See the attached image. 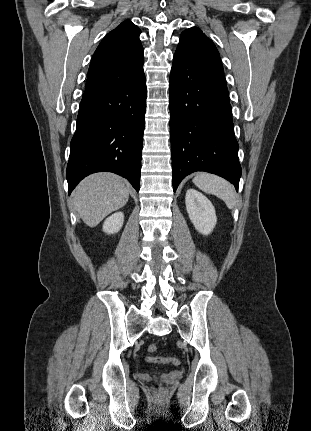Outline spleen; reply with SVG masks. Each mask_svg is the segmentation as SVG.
Listing matches in <instances>:
<instances>
[{"mask_svg":"<svg viewBox=\"0 0 311 431\" xmlns=\"http://www.w3.org/2000/svg\"><path fill=\"white\" fill-rule=\"evenodd\" d=\"M192 182L202 192L214 194V196L223 200L229 210H233L234 206H236L235 190L232 184H229L223 178H218L213 174H196Z\"/></svg>","mask_w":311,"mask_h":431,"instance_id":"obj_1","label":"spleen"}]
</instances>
